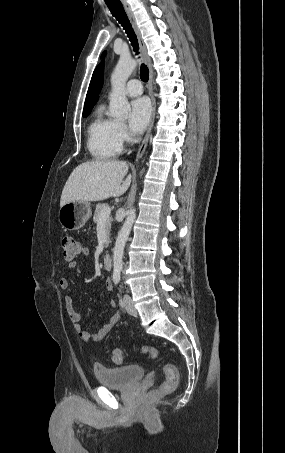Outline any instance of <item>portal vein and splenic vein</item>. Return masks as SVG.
<instances>
[{
    "mask_svg": "<svg viewBox=\"0 0 285 453\" xmlns=\"http://www.w3.org/2000/svg\"><path fill=\"white\" fill-rule=\"evenodd\" d=\"M110 214H111V209L109 207H107V208L102 210L101 215H100V219L107 218V217L110 216Z\"/></svg>",
    "mask_w": 285,
    "mask_h": 453,
    "instance_id": "1",
    "label": "portal vein and splenic vein"
}]
</instances>
